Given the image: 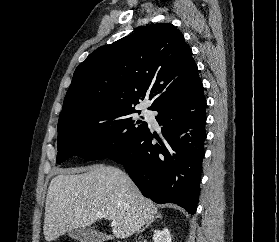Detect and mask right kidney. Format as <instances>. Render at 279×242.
Instances as JSON below:
<instances>
[{
  "mask_svg": "<svg viewBox=\"0 0 279 242\" xmlns=\"http://www.w3.org/2000/svg\"><path fill=\"white\" fill-rule=\"evenodd\" d=\"M152 239L154 242H171V235L167 228L163 230H154Z\"/></svg>",
  "mask_w": 279,
  "mask_h": 242,
  "instance_id": "right-kidney-1",
  "label": "right kidney"
}]
</instances>
